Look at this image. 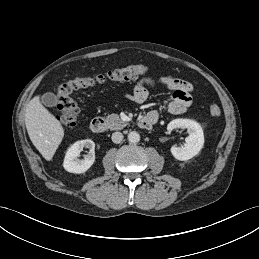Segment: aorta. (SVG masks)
I'll return each instance as SVG.
<instances>
[{
  "label": "aorta",
  "instance_id": "1",
  "mask_svg": "<svg viewBox=\"0 0 259 259\" xmlns=\"http://www.w3.org/2000/svg\"><path fill=\"white\" fill-rule=\"evenodd\" d=\"M128 141L131 143H138L140 141L139 133L132 131L128 134Z\"/></svg>",
  "mask_w": 259,
  "mask_h": 259
}]
</instances>
